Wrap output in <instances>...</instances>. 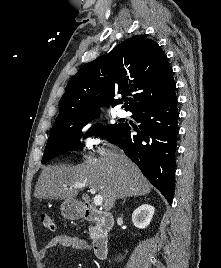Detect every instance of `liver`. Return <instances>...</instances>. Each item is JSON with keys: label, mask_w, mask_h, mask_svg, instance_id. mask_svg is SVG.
<instances>
[{"label": "liver", "mask_w": 221, "mask_h": 268, "mask_svg": "<svg viewBox=\"0 0 221 268\" xmlns=\"http://www.w3.org/2000/svg\"><path fill=\"white\" fill-rule=\"evenodd\" d=\"M101 156H84L74 167H45L35 186L37 199L75 200L79 189L75 183L95 188L103 197V207L109 211L116 199L149 194L152 185L140 169L117 148L102 149Z\"/></svg>", "instance_id": "1"}]
</instances>
